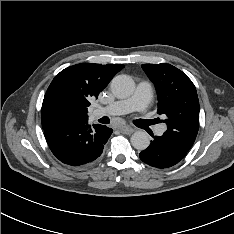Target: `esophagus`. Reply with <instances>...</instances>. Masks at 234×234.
Returning a JSON list of instances; mask_svg holds the SVG:
<instances>
[{"label": "esophagus", "instance_id": "obj_1", "mask_svg": "<svg viewBox=\"0 0 234 234\" xmlns=\"http://www.w3.org/2000/svg\"><path fill=\"white\" fill-rule=\"evenodd\" d=\"M120 132L123 134H132L134 132V129L131 126L126 125L120 128Z\"/></svg>", "mask_w": 234, "mask_h": 234}]
</instances>
